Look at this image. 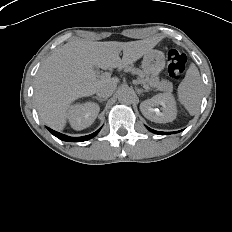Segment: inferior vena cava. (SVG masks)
Wrapping results in <instances>:
<instances>
[{"label":"inferior vena cava","instance_id":"inferior-vena-cava-1","mask_svg":"<svg viewBox=\"0 0 232 232\" xmlns=\"http://www.w3.org/2000/svg\"><path fill=\"white\" fill-rule=\"evenodd\" d=\"M116 86V82L112 80H105L98 86L96 94L99 97L108 98L113 94V92L116 89Z\"/></svg>","mask_w":232,"mask_h":232}]
</instances>
